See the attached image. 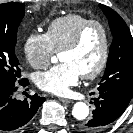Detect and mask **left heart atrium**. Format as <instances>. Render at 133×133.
Masks as SVG:
<instances>
[{
	"instance_id": "left-heart-atrium-1",
	"label": "left heart atrium",
	"mask_w": 133,
	"mask_h": 133,
	"mask_svg": "<svg viewBox=\"0 0 133 133\" xmlns=\"http://www.w3.org/2000/svg\"><path fill=\"white\" fill-rule=\"evenodd\" d=\"M81 73L70 62H61L45 72L35 75L36 85L54 95H66L70 87L77 84Z\"/></svg>"
}]
</instances>
